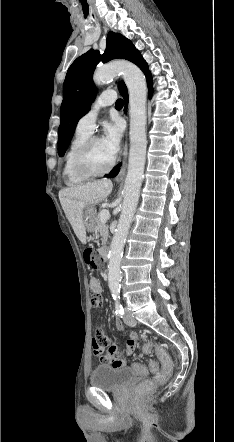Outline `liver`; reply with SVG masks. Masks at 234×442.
<instances>
[{
  "label": "liver",
  "mask_w": 234,
  "mask_h": 442,
  "mask_svg": "<svg viewBox=\"0 0 234 442\" xmlns=\"http://www.w3.org/2000/svg\"><path fill=\"white\" fill-rule=\"evenodd\" d=\"M113 184L109 179H102L62 189L59 200L77 238L86 244V230L83 224V212L87 206H94L103 201L112 191Z\"/></svg>",
  "instance_id": "obj_1"
}]
</instances>
